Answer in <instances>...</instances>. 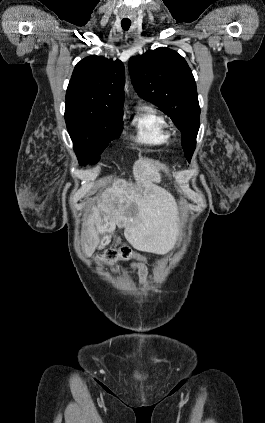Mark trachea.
Masks as SVG:
<instances>
[{
	"label": "trachea",
	"instance_id": "trachea-1",
	"mask_svg": "<svg viewBox=\"0 0 265 423\" xmlns=\"http://www.w3.org/2000/svg\"><path fill=\"white\" fill-rule=\"evenodd\" d=\"M121 26H122V28H123L124 31H127L130 28V26H131V21H129V20H122L121 21Z\"/></svg>",
	"mask_w": 265,
	"mask_h": 423
}]
</instances>
